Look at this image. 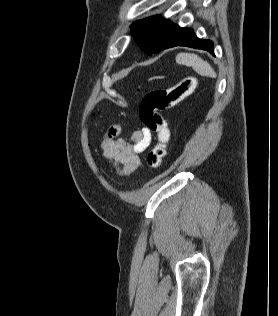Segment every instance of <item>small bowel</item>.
Here are the masks:
<instances>
[{"mask_svg": "<svg viewBox=\"0 0 278 316\" xmlns=\"http://www.w3.org/2000/svg\"><path fill=\"white\" fill-rule=\"evenodd\" d=\"M120 134V125L110 126L102 140L101 149L105 160L119 174L128 175L139 166V155L149 147L152 133L144 127L133 131L129 139L120 137Z\"/></svg>", "mask_w": 278, "mask_h": 316, "instance_id": "small-bowel-1", "label": "small bowel"}]
</instances>
